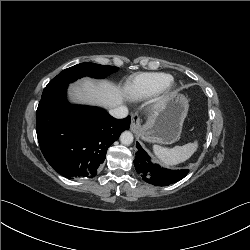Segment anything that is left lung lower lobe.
Wrapping results in <instances>:
<instances>
[{
  "label": "left lung lower lobe",
  "mask_w": 250,
  "mask_h": 250,
  "mask_svg": "<svg viewBox=\"0 0 250 250\" xmlns=\"http://www.w3.org/2000/svg\"><path fill=\"white\" fill-rule=\"evenodd\" d=\"M137 149L133 161L134 166L142 179L150 184L167 186L183 179L188 174V170H169L154 164L139 143H137Z\"/></svg>",
  "instance_id": "0a47b994"
}]
</instances>
